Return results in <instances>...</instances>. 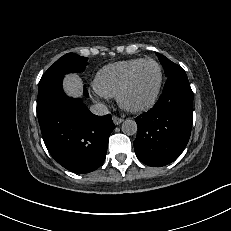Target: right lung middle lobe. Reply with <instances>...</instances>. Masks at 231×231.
<instances>
[{"label": "right lung middle lobe", "instance_id": "1", "mask_svg": "<svg viewBox=\"0 0 231 231\" xmlns=\"http://www.w3.org/2000/svg\"><path fill=\"white\" fill-rule=\"evenodd\" d=\"M87 57L79 56L75 53H67L59 58L43 75L39 85L53 79L64 76L67 73L83 71L87 65Z\"/></svg>", "mask_w": 231, "mask_h": 231}]
</instances>
